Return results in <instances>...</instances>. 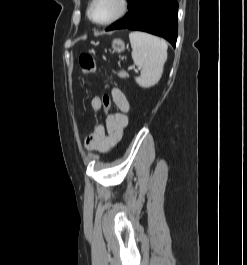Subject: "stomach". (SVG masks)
<instances>
[{"mask_svg":"<svg viewBox=\"0 0 247 265\" xmlns=\"http://www.w3.org/2000/svg\"><path fill=\"white\" fill-rule=\"evenodd\" d=\"M112 49L116 53H121L125 50V44L121 39H114L112 42Z\"/></svg>","mask_w":247,"mask_h":265,"instance_id":"stomach-1","label":"stomach"}]
</instances>
